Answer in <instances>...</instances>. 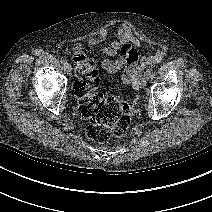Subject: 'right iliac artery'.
Masks as SVG:
<instances>
[{
  "label": "right iliac artery",
  "mask_w": 212,
  "mask_h": 212,
  "mask_svg": "<svg viewBox=\"0 0 212 212\" xmlns=\"http://www.w3.org/2000/svg\"><path fill=\"white\" fill-rule=\"evenodd\" d=\"M60 62H61L62 64H66V63H67V60H66V58H64V57H61Z\"/></svg>",
  "instance_id": "82829eb1"
}]
</instances>
